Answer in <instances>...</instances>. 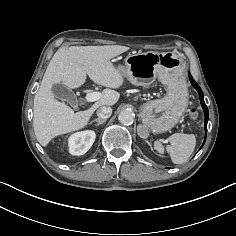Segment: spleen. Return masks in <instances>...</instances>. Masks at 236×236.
I'll return each mask as SVG.
<instances>
[{"instance_id": "spleen-1", "label": "spleen", "mask_w": 236, "mask_h": 236, "mask_svg": "<svg viewBox=\"0 0 236 236\" xmlns=\"http://www.w3.org/2000/svg\"><path fill=\"white\" fill-rule=\"evenodd\" d=\"M170 145L166 147L174 164L187 162L196 146V138L193 134L174 133L169 137ZM154 148L159 153H164V146L159 142H154Z\"/></svg>"}]
</instances>
